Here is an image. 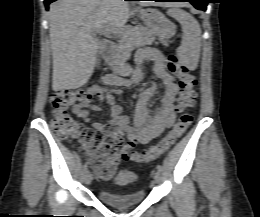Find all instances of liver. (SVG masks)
I'll use <instances>...</instances> for the list:
<instances>
[{
	"label": "liver",
	"instance_id": "obj_1",
	"mask_svg": "<svg viewBox=\"0 0 260 217\" xmlns=\"http://www.w3.org/2000/svg\"><path fill=\"white\" fill-rule=\"evenodd\" d=\"M141 6H148L142 3ZM171 6V4H155ZM136 10L123 0H58L50 5L52 89H77L90 79L99 41L94 32L122 28Z\"/></svg>",
	"mask_w": 260,
	"mask_h": 217
}]
</instances>
